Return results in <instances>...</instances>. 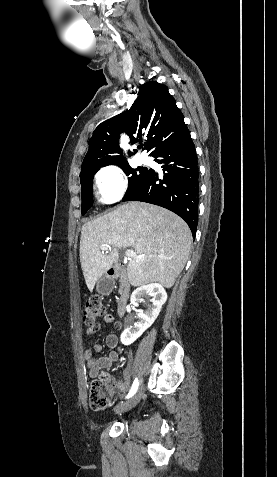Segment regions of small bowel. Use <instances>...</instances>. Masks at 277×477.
Returning <instances> with one entry per match:
<instances>
[{
	"label": "small bowel",
	"mask_w": 277,
	"mask_h": 477,
	"mask_svg": "<svg viewBox=\"0 0 277 477\" xmlns=\"http://www.w3.org/2000/svg\"><path fill=\"white\" fill-rule=\"evenodd\" d=\"M103 320L107 325L113 324L116 330L122 329V323L120 321H116L111 314H106ZM100 327V324H95L91 327H88L85 331V334L90 336L96 333ZM105 342L106 345L111 349L107 355L97 356V354L102 350V346L100 344H95L84 352V360L88 367V375L91 379H96L103 370L110 368L115 362L118 361L119 355L117 351L114 350L118 345L117 335H107Z\"/></svg>",
	"instance_id": "1"
}]
</instances>
